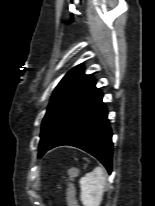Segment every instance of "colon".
I'll return each instance as SVG.
<instances>
[{"instance_id": "obj_1", "label": "colon", "mask_w": 155, "mask_h": 206, "mask_svg": "<svg viewBox=\"0 0 155 206\" xmlns=\"http://www.w3.org/2000/svg\"><path fill=\"white\" fill-rule=\"evenodd\" d=\"M68 206H79L75 198V190L72 186H69L67 191Z\"/></svg>"}]
</instances>
